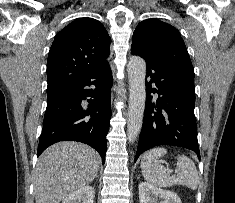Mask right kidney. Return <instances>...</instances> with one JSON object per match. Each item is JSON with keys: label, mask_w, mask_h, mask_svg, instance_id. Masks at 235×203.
Returning a JSON list of instances; mask_svg holds the SVG:
<instances>
[{"label": "right kidney", "mask_w": 235, "mask_h": 203, "mask_svg": "<svg viewBox=\"0 0 235 203\" xmlns=\"http://www.w3.org/2000/svg\"><path fill=\"white\" fill-rule=\"evenodd\" d=\"M95 190L92 186H84L69 194L62 203H93Z\"/></svg>", "instance_id": "right-kidney-1"}]
</instances>
